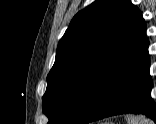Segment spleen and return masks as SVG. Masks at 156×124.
Wrapping results in <instances>:
<instances>
[{
    "instance_id": "obj_1",
    "label": "spleen",
    "mask_w": 156,
    "mask_h": 124,
    "mask_svg": "<svg viewBox=\"0 0 156 124\" xmlns=\"http://www.w3.org/2000/svg\"><path fill=\"white\" fill-rule=\"evenodd\" d=\"M128 124H153L152 121L144 116H127Z\"/></svg>"
}]
</instances>
